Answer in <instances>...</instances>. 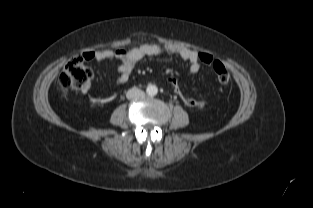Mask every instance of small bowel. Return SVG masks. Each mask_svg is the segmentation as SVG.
Here are the masks:
<instances>
[{
	"mask_svg": "<svg viewBox=\"0 0 313 208\" xmlns=\"http://www.w3.org/2000/svg\"><path fill=\"white\" fill-rule=\"evenodd\" d=\"M166 54L170 57L178 56L182 60L189 63V72L196 74L200 71L201 61L199 59V52L188 48H179L174 46H160L156 44H141L131 49H117V50H99L94 52H87L84 57L87 60L94 59L96 61H111L119 60L117 71L119 77L118 83H125L131 76L134 66L145 57L158 56ZM88 86L82 91L86 92Z\"/></svg>",
	"mask_w": 313,
	"mask_h": 208,
	"instance_id": "1",
	"label": "small bowel"
}]
</instances>
